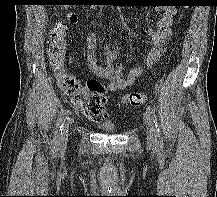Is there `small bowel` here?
Returning <instances> with one entry per match:
<instances>
[{"label":"small bowel","mask_w":217,"mask_h":197,"mask_svg":"<svg viewBox=\"0 0 217 197\" xmlns=\"http://www.w3.org/2000/svg\"><path fill=\"white\" fill-rule=\"evenodd\" d=\"M156 11L162 12V18L158 21L155 29L148 30L149 52L144 67H134L129 71L127 77H124V68L116 64L118 53L109 47L104 48V66L98 63L96 57L97 35L91 31L87 35V62L90 70L99 78L109 81L107 88L111 92L125 90L132 86L141 75L151 69L163 56V43L172 33V26L176 9L172 5H159L155 7ZM66 19L70 23L78 21L76 12L68 11Z\"/></svg>","instance_id":"small-bowel-1"}]
</instances>
